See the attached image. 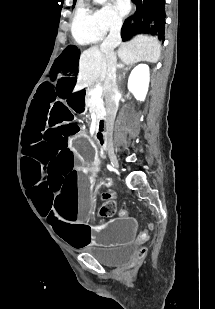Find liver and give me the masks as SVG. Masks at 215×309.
Masks as SVG:
<instances>
[{
  "instance_id": "6515ba94",
  "label": "liver",
  "mask_w": 215,
  "mask_h": 309,
  "mask_svg": "<svg viewBox=\"0 0 215 309\" xmlns=\"http://www.w3.org/2000/svg\"><path fill=\"white\" fill-rule=\"evenodd\" d=\"M161 54V44L156 36L137 34L128 42H121L117 56L125 62H157ZM107 72L106 54L98 46H90L83 50L79 58V72L73 92L82 90L85 86H92L96 80H104Z\"/></svg>"
}]
</instances>
